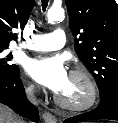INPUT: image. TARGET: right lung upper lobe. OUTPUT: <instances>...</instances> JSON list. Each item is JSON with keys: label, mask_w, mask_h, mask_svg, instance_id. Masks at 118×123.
<instances>
[{"label": "right lung upper lobe", "mask_w": 118, "mask_h": 123, "mask_svg": "<svg viewBox=\"0 0 118 123\" xmlns=\"http://www.w3.org/2000/svg\"><path fill=\"white\" fill-rule=\"evenodd\" d=\"M35 0H0V48L16 40L14 28L24 29Z\"/></svg>", "instance_id": "cb5924a9"}]
</instances>
